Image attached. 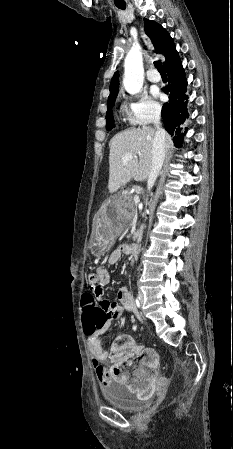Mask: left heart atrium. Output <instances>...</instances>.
<instances>
[{
  "instance_id": "obj_1",
  "label": "left heart atrium",
  "mask_w": 233,
  "mask_h": 449,
  "mask_svg": "<svg viewBox=\"0 0 233 449\" xmlns=\"http://www.w3.org/2000/svg\"><path fill=\"white\" fill-rule=\"evenodd\" d=\"M154 95H158V91L157 90H153L152 91Z\"/></svg>"
}]
</instances>
